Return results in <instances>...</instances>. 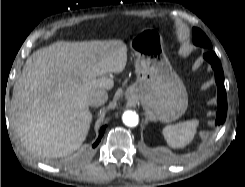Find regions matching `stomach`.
I'll return each instance as SVG.
<instances>
[{
    "label": "stomach",
    "instance_id": "0dacf381",
    "mask_svg": "<svg viewBox=\"0 0 245 187\" xmlns=\"http://www.w3.org/2000/svg\"><path fill=\"white\" fill-rule=\"evenodd\" d=\"M130 48L136 55L137 78L127 89V98L139 101L162 122L181 117L188 106V95L164 53L161 31L148 28L137 33Z\"/></svg>",
    "mask_w": 245,
    "mask_h": 187
}]
</instances>
